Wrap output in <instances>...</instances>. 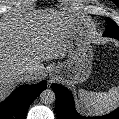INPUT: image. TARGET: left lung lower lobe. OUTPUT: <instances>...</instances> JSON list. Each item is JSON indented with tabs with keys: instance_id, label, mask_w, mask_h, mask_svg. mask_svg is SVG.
I'll return each instance as SVG.
<instances>
[{
	"instance_id": "1",
	"label": "left lung lower lobe",
	"mask_w": 119,
	"mask_h": 119,
	"mask_svg": "<svg viewBox=\"0 0 119 119\" xmlns=\"http://www.w3.org/2000/svg\"><path fill=\"white\" fill-rule=\"evenodd\" d=\"M104 36L119 40V35L104 33ZM52 89L56 94L55 111L58 119H119V108L102 117L85 118L76 112L73 97L68 89L58 84H52Z\"/></svg>"
}]
</instances>
